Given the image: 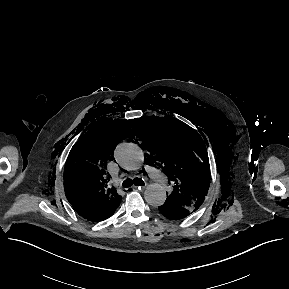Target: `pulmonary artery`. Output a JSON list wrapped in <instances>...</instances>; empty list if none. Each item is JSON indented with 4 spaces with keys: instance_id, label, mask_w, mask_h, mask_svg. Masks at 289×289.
I'll return each instance as SVG.
<instances>
[{
    "instance_id": "1",
    "label": "pulmonary artery",
    "mask_w": 289,
    "mask_h": 289,
    "mask_svg": "<svg viewBox=\"0 0 289 289\" xmlns=\"http://www.w3.org/2000/svg\"><path fill=\"white\" fill-rule=\"evenodd\" d=\"M146 171L151 179H153L155 182H157L159 185L165 187L168 185L169 180L164 176V174L158 170L157 168L147 165Z\"/></svg>"
}]
</instances>
